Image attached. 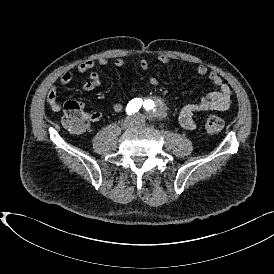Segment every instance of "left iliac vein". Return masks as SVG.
<instances>
[{"label": "left iliac vein", "instance_id": "obj_1", "mask_svg": "<svg viewBox=\"0 0 274 274\" xmlns=\"http://www.w3.org/2000/svg\"><path fill=\"white\" fill-rule=\"evenodd\" d=\"M146 124L145 119L142 115L136 116V126H144Z\"/></svg>", "mask_w": 274, "mask_h": 274}]
</instances>
